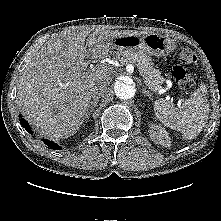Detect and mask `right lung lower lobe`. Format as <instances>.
Returning <instances> with one entry per match:
<instances>
[{"label": "right lung lower lobe", "instance_id": "98d812e1", "mask_svg": "<svg viewBox=\"0 0 221 221\" xmlns=\"http://www.w3.org/2000/svg\"><path fill=\"white\" fill-rule=\"evenodd\" d=\"M20 123H21V125L25 128L26 131H28L29 133L32 132V131H31V128H30V126H29V124H28L23 118L20 119ZM43 142H44L46 145H48V147H50L51 149H55V150H60V149H61L60 146H58L57 144H55V143L52 142V141H48V140H45V139H44Z\"/></svg>", "mask_w": 221, "mask_h": 221}]
</instances>
